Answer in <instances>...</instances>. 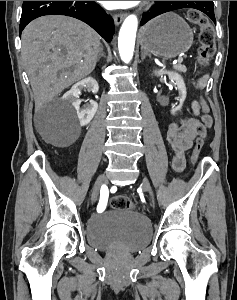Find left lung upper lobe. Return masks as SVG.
Instances as JSON below:
<instances>
[{
	"label": "left lung upper lobe",
	"instance_id": "1",
	"mask_svg": "<svg viewBox=\"0 0 237 300\" xmlns=\"http://www.w3.org/2000/svg\"><path fill=\"white\" fill-rule=\"evenodd\" d=\"M197 6H199V5H197ZM174 9L175 8L170 5L169 1H155V5L152 8L151 12L148 14H145L143 16V18L141 20V25H144L147 21H149L150 19H152L162 13H165V12H168V11H171Z\"/></svg>",
	"mask_w": 237,
	"mask_h": 300
}]
</instances>
